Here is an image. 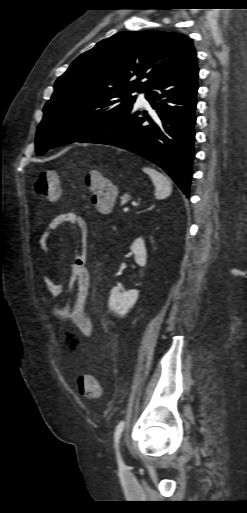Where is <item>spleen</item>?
Returning a JSON list of instances; mask_svg holds the SVG:
<instances>
[{
	"mask_svg": "<svg viewBox=\"0 0 247 513\" xmlns=\"http://www.w3.org/2000/svg\"><path fill=\"white\" fill-rule=\"evenodd\" d=\"M143 171L148 174L155 186V197L162 200L170 196L172 192V183L165 175L151 168H143Z\"/></svg>",
	"mask_w": 247,
	"mask_h": 513,
	"instance_id": "1",
	"label": "spleen"
}]
</instances>
